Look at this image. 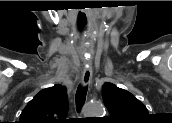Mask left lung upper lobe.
I'll list each match as a JSON object with an SVG mask.
<instances>
[{
    "label": "left lung upper lobe",
    "instance_id": "1",
    "mask_svg": "<svg viewBox=\"0 0 172 123\" xmlns=\"http://www.w3.org/2000/svg\"><path fill=\"white\" fill-rule=\"evenodd\" d=\"M102 97L111 116L109 120L130 123L143 120L148 110L133 94L112 83L102 86Z\"/></svg>",
    "mask_w": 172,
    "mask_h": 123
}]
</instances>
